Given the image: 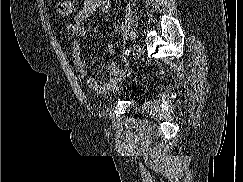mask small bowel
<instances>
[{
	"mask_svg": "<svg viewBox=\"0 0 243 182\" xmlns=\"http://www.w3.org/2000/svg\"><path fill=\"white\" fill-rule=\"evenodd\" d=\"M109 9V0H85L82 7L76 12L73 19L67 24V29L72 38V60L74 70L79 80L83 81L87 87L98 94H106L109 91L119 88L123 77L129 70L128 67L121 68L111 61L107 65L109 77L103 81H98L90 76L87 71V62L81 54V40L85 36L83 23L97 12H105ZM109 53L113 55L115 50L113 45H109Z\"/></svg>",
	"mask_w": 243,
	"mask_h": 182,
	"instance_id": "c3829d8e",
	"label": "small bowel"
}]
</instances>
